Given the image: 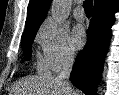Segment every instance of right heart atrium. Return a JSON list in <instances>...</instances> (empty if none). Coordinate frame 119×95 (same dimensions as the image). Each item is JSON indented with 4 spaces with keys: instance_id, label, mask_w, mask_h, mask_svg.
I'll return each instance as SVG.
<instances>
[{
    "instance_id": "obj_1",
    "label": "right heart atrium",
    "mask_w": 119,
    "mask_h": 95,
    "mask_svg": "<svg viewBox=\"0 0 119 95\" xmlns=\"http://www.w3.org/2000/svg\"><path fill=\"white\" fill-rule=\"evenodd\" d=\"M37 40L49 69L57 71L74 60L75 51L68 30L53 20H46L41 25Z\"/></svg>"
}]
</instances>
